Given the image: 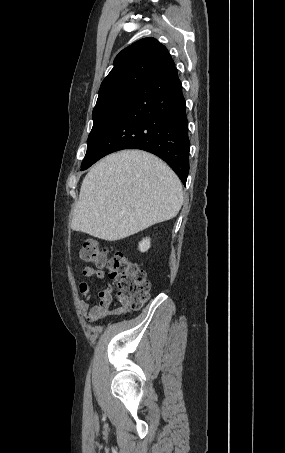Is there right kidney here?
Returning <instances> with one entry per match:
<instances>
[{
    "label": "right kidney",
    "instance_id": "1",
    "mask_svg": "<svg viewBox=\"0 0 285 453\" xmlns=\"http://www.w3.org/2000/svg\"><path fill=\"white\" fill-rule=\"evenodd\" d=\"M150 248V238H145L139 243V250L146 252Z\"/></svg>",
    "mask_w": 285,
    "mask_h": 453
}]
</instances>
